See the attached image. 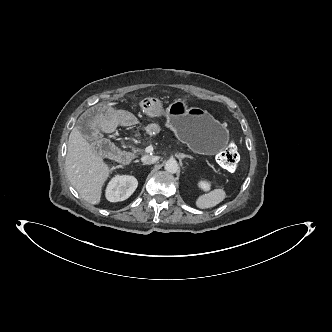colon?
I'll return each mask as SVG.
<instances>
[{
    "instance_id": "obj_1",
    "label": "colon",
    "mask_w": 332,
    "mask_h": 332,
    "mask_svg": "<svg viewBox=\"0 0 332 332\" xmlns=\"http://www.w3.org/2000/svg\"><path fill=\"white\" fill-rule=\"evenodd\" d=\"M95 149L104 155L114 151L113 144L107 139H100L94 143ZM218 162L222 168L227 171L233 172L237 169L240 157L237 152L236 144L231 141L219 154Z\"/></svg>"
}]
</instances>
